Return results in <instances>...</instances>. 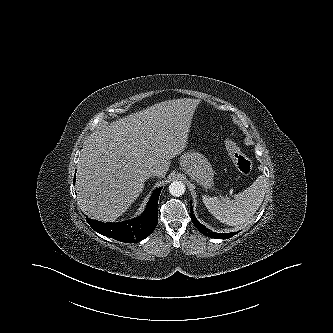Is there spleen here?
Wrapping results in <instances>:
<instances>
[{
	"label": "spleen",
	"mask_w": 333,
	"mask_h": 333,
	"mask_svg": "<svg viewBox=\"0 0 333 333\" xmlns=\"http://www.w3.org/2000/svg\"><path fill=\"white\" fill-rule=\"evenodd\" d=\"M267 188V179L261 175L250 187L236 194L233 199L203 196V202L216 219L236 227L249 222L253 217L263 202Z\"/></svg>",
	"instance_id": "1"
}]
</instances>
